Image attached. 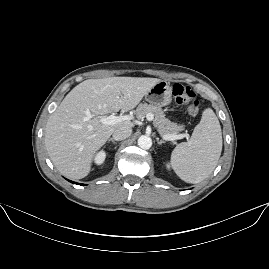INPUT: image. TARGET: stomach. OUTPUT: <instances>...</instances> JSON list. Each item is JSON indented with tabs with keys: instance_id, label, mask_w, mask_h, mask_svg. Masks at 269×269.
Segmentation results:
<instances>
[{
	"instance_id": "1",
	"label": "stomach",
	"mask_w": 269,
	"mask_h": 269,
	"mask_svg": "<svg viewBox=\"0 0 269 269\" xmlns=\"http://www.w3.org/2000/svg\"><path fill=\"white\" fill-rule=\"evenodd\" d=\"M145 98L153 105L169 106L172 103V88L168 82L161 81L146 94Z\"/></svg>"
}]
</instances>
